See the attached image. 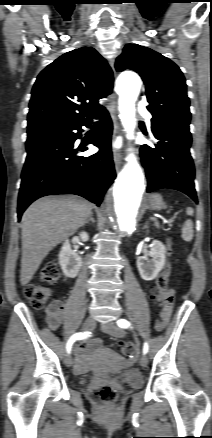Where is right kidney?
<instances>
[{"instance_id": "1", "label": "right kidney", "mask_w": 212, "mask_h": 438, "mask_svg": "<svg viewBox=\"0 0 212 438\" xmlns=\"http://www.w3.org/2000/svg\"><path fill=\"white\" fill-rule=\"evenodd\" d=\"M89 238L87 232H80L79 239L82 241H87ZM59 264L65 276L69 278H75L82 266V258L76 253V251L71 249V245L68 239L62 245L61 251L59 253Z\"/></svg>"}]
</instances>
